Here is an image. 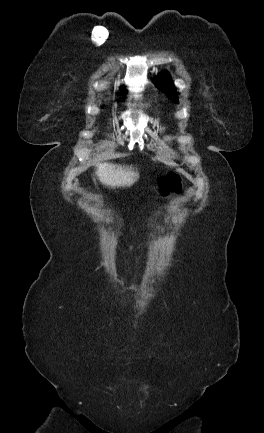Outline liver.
<instances>
[{
  "label": "liver",
  "mask_w": 264,
  "mask_h": 433,
  "mask_svg": "<svg viewBox=\"0 0 264 433\" xmlns=\"http://www.w3.org/2000/svg\"><path fill=\"white\" fill-rule=\"evenodd\" d=\"M95 174L103 185L110 187H129L139 178V173L131 167L107 162L97 163Z\"/></svg>",
  "instance_id": "liver-1"
}]
</instances>
